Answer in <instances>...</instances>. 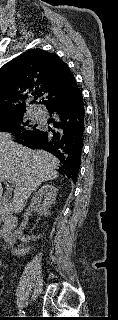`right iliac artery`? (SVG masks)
<instances>
[{
    "label": "right iliac artery",
    "instance_id": "1",
    "mask_svg": "<svg viewBox=\"0 0 118 320\" xmlns=\"http://www.w3.org/2000/svg\"><path fill=\"white\" fill-rule=\"evenodd\" d=\"M19 314H20V316L22 317V316L25 315V312H24V311H20Z\"/></svg>",
    "mask_w": 118,
    "mask_h": 320
}]
</instances>
